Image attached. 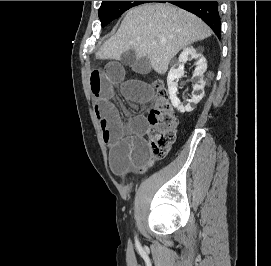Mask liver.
<instances>
[{
    "label": "liver",
    "mask_w": 271,
    "mask_h": 266,
    "mask_svg": "<svg viewBox=\"0 0 271 266\" xmlns=\"http://www.w3.org/2000/svg\"><path fill=\"white\" fill-rule=\"evenodd\" d=\"M211 33L200 18L185 10L170 4H143L127 12L117 33L103 44L96 58L120 60L123 53L134 50L162 75L182 48Z\"/></svg>",
    "instance_id": "obj_1"
}]
</instances>
